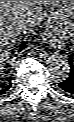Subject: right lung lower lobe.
<instances>
[{
    "label": "right lung lower lobe",
    "instance_id": "1",
    "mask_svg": "<svg viewBox=\"0 0 74 122\" xmlns=\"http://www.w3.org/2000/svg\"><path fill=\"white\" fill-rule=\"evenodd\" d=\"M25 47H26V44H25V43L21 44L20 47H19V51H21V50L24 49ZM11 86H12L11 83H9L8 85H3V86L0 85V95H1L2 93H4L5 91H7Z\"/></svg>",
    "mask_w": 74,
    "mask_h": 122
}]
</instances>
